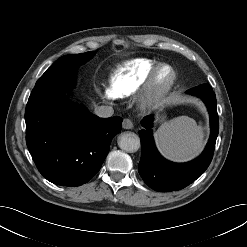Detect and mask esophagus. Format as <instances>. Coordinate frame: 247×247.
<instances>
[{"label":"esophagus","mask_w":247,"mask_h":247,"mask_svg":"<svg viewBox=\"0 0 247 247\" xmlns=\"http://www.w3.org/2000/svg\"><path fill=\"white\" fill-rule=\"evenodd\" d=\"M122 127L124 129H132L133 128V123L130 119L125 118L122 123Z\"/></svg>","instance_id":"esophagus-1"}]
</instances>
